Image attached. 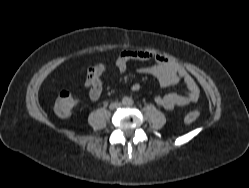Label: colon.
Segmentation results:
<instances>
[{
  "mask_svg": "<svg viewBox=\"0 0 249 188\" xmlns=\"http://www.w3.org/2000/svg\"><path fill=\"white\" fill-rule=\"evenodd\" d=\"M79 100L69 91H61L55 101L54 108L60 117H68L78 106ZM199 112L196 110L186 113L184 122L186 124L194 123L199 118Z\"/></svg>",
  "mask_w": 249,
  "mask_h": 188,
  "instance_id": "5ec220e1",
  "label": "colon"
}]
</instances>
